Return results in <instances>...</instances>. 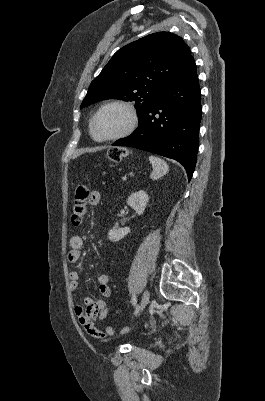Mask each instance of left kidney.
<instances>
[{
	"instance_id": "left-kidney-1",
	"label": "left kidney",
	"mask_w": 265,
	"mask_h": 401,
	"mask_svg": "<svg viewBox=\"0 0 265 401\" xmlns=\"http://www.w3.org/2000/svg\"><path fill=\"white\" fill-rule=\"evenodd\" d=\"M148 201L149 196L147 192H145V190H138V192H132V194L128 196L127 205L132 207L138 215H143ZM128 233H130L129 227H125V229H111L108 233V239L115 243V241H121V239H124Z\"/></svg>"
}]
</instances>
